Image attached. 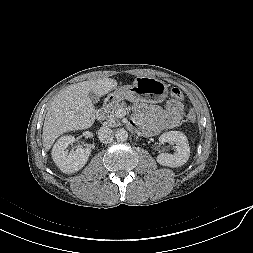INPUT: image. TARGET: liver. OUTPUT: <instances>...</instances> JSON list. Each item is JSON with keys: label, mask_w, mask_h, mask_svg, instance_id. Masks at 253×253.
<instances>
[{"label": "liver", "mask_w": 253, "mask_h": 253, "mask_svg": "<svg viewBox=\"0 0 253 253\" xmlns=\"http://www.w3.org/2000/svg\"><path fill=\"white\" fill-rule=\"evenodd\" d=\"M115 79L83 81L59 92L51 102L43 126V146L49 150L63 133L90 128L95 121V108L88 97L93 91L99 97L117 87Z\"/></svg>", "instance_id": "6515ba94"}]
</instances>
